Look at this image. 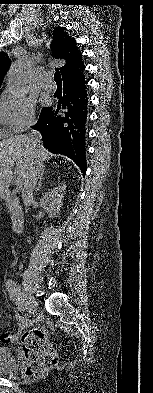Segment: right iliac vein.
Returning <instances> with one entry per match:
<instances>
[{"mask_svg":"<svg viewBox=\"0 0 153 393\" xmlns=\"http://www.w3.org/2000/svg\"><path fill=\"white\" fill-rule=\"evenodd\" d=\"M22 295L25 298V303L22 306V309H29V311L34 310V308L36 307V300L32 296V293L27 285H24L22 287Z\"/></svg>","mask_w":153,"mask_h":393,"instance_id":"63e3f726","label":"right iliac vein"}]
</instances>
